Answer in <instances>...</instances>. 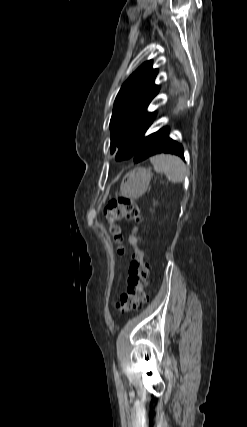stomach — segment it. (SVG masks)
Wrapping results in <instances>:
<instances>
[{"mask_svg":"<svg viewBox=\"0 0 247 427\" xmlns=\"http://www.w3.org/2000/svg\"><path fill=\"white\" fill-rule=\"evenodd\" d=\"M152 173L146 168H135L128 172L121 182L120 194L126 198L139 199L146 191Z\"/></svg>","mask_w":247,"mask_h":427,"instance_id":"obj_1","label":"stomach"}]
</instances>
